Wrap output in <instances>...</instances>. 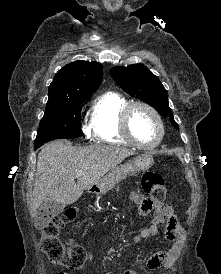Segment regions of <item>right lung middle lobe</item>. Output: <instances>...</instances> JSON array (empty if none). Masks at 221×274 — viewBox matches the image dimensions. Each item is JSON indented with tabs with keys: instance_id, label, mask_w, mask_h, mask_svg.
I'll use <instances>...</instances> for the list:
<instances>
[{
	"instance_id": "right-lung-middle-lobe-1",
	"label": "right lung middle lobe",
	"mask_w": 221,
	"mask_h": 274,
	"mask_svg": "<svg viewBox=\"0 0 221 274\" xmlns=\"http://www.w3.org/2000/svg\"><path fill=\"white\" fill-rule=\"evenodd\" d=\"M90 96L86 95L61 101H48L44 116L40 121L34 149L54 139L79 136L81 132L80 116L82 102Z\"/></svg>"
}]
</instances>
